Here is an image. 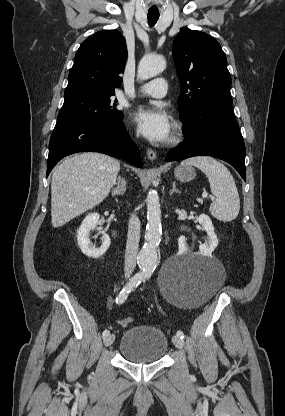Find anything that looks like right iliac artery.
Here are the masks:
<instances>
[{"mask_svg": "<svg viewBox=\"0 0 285 416\" xmlns=\"http://www.w3.org/2000/svg\"><path fill=\"white\" fill-rule=\"evenodd\" d=\"M143 280V273L135 274L129 282L123 287L121 292L116 297V303L122 304L128 297L129 293L133 291ZM110 334V331L105 329L102 333L103 337H106Z\"/></svg>", "mask_w": 285, "mask_h": 416, "instance_id": "obj_1", "label": "right iliac artery"}]
</instances>
